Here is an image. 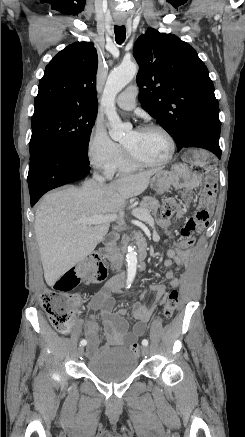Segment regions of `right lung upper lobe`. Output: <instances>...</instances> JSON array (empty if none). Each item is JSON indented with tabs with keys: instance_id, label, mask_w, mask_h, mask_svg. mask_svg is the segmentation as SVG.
<instances>
[{
	"instance_id": "1",
	"label": "right lung upper lobe",
	"mask_w": 245,
	"mask_h": 437,
	"mask_svg": "<svg viewBox=\"0 0 245 437\" xmlns=\"http://www.w3.org/2000/svg\"><path fill=\"white\" fill-rule=\"evenodd\" d=\"M97 66V51L92 42L67 46L46 66L35 106L61 103L97 110Z\"/></svg>"
}]
</instances>
